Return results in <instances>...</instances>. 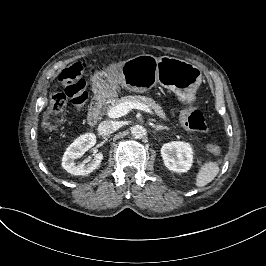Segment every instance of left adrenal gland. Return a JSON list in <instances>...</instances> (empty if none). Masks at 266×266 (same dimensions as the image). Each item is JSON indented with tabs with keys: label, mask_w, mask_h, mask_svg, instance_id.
<instances>
[{
	"label": "left adrenal gland",
	"mask_w": 266,
	"mask_h": 266,
	"mask_svg": "<svg viewBox=\"0 0 266 266\" xmlns=\"http://www.w3.org/2000/svg\"><path fill=\"white\" fill-rule=\"evenodd\" d=\"M155 130H168L169 128L167 126H162V125H153Z\"/></svg>",
	"instance_id": "a2214340"
}]
</instances>
